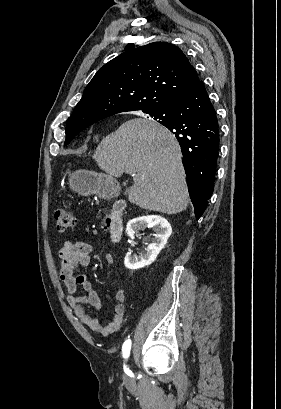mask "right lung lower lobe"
Wrapping results in <instances>:
<instances>
[{
  "mask_svg": "<svg viewBox=\"0 0 281 409\" xmlns=\"http://www.w3.org/2000/svg\"><path fill=\"white\" fill-rule=\"evenodd\" d=\"M148 114L161 120L180 144L190 198L199 219L213 192L219 150V124L203 82L185 97Z\"/></svg>",
  "mask_w": 281,
  "mask_h": 409,
  "instance_id": "1",
  "label": "right lung lower lobe"
}]
</instances>
